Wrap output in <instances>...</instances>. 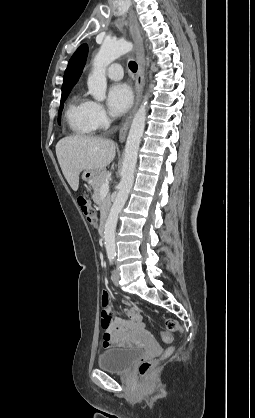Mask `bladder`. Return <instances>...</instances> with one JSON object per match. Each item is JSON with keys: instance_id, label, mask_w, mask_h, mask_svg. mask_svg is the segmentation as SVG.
<instances>
[{"instance_id": "1", "label": "bladder", "mask_w": 255, "mask_h": 418, "mask_svg": "<svg viewBox=\"0 0 255 418\" xmlns=\"http://www.w3.org/2000/svg\"><path fill=\"white\" fill-rule=\"evenodd\" d=\"M141 354L142 350L134 346L112 348L98 356L97 364L100 369L124 373L131 368Z\"/></svg>"}]
</instances>
